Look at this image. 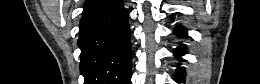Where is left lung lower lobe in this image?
<instances>
[{
  "mask_svg": "<svg viewBox=\"0 0 260 84\" xmlns=\"http://www.w3.org/2000/svg\"><path fill=\"white\" fill-rule=\"evenodd\" d=\"M175 34L179 35V36H184L186 35V29H184L183 27H176L175 28ZM183 54H185V49L184 47L179 48L178 50H176L175 52V56H182ZM185 77V73L184 70L182 68H178L176 71V81L177 82H183V79Z\"/></svg>",
  "mask_w": 260,
  "mask_h": 84,
  "instance_id": "left-lung-lower-lobe-1",
  "label": "left lung lower lobe"
}]
</instances>
